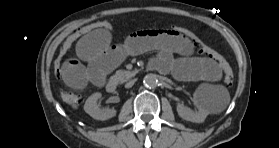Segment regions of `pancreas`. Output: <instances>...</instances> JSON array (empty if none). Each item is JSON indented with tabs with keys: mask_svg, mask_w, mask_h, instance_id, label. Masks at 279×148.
Wrapping results in <instances>:
<instances>
[{
	"mask_svg": "<svg viewBox=\"0 0 279 148\" xmlns=\"http://www.w3.org/2000/svg\"><path fill=\"white\" fill-rule=\"evenodd\" d=\"M135 71L127 70H118L116 71L114 78L117 79L120 83L126 82L129 78L135 76Z\"/></svg>",
	"mask_w": 279,
	"mask_h": 148,
	"instance_id": "obj_1",
	"label": "pancreas"
}]
</instances>
